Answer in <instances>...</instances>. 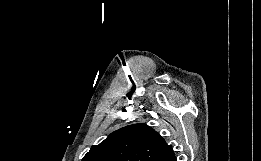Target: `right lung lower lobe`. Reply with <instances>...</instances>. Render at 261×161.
<instances>
[{
    "label": "right lung lower lobe",
    "mask_w": 261,
    "mask_h": 161,
    "mask_svg": "<svg viewBox=\"0 0 261 161\" xmlns=\"http://www.w3.org/2000/svg\"><path fill=\"white\" fill-rule=\"evenodd\" d=\"M165 161H176V157L175 155L169 157L168 159H166Z\"/></svg>",
    "instance_id": "obj_1"
}]
</instances>
